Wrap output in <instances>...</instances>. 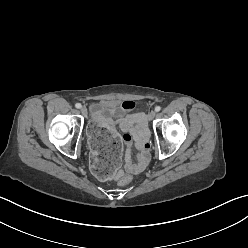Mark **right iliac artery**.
I'll use <instances>...</instances> for the list:
<instances>
[{"label":"right iliac artery","mask_w":248,"mask_h":248,"mask_svg":"<svg viewBox=\"0 0 248 248\" xmlns=\"http://www.w3.org/2000/svg\"><path fill=\"white\" fill-rule=\"evenodd\" d=\"M75 107L78 108V109H80L82 107V105L80 103H76L75 104Z\"/></svg>","instance_id":"obj_1"}]
</instances>
